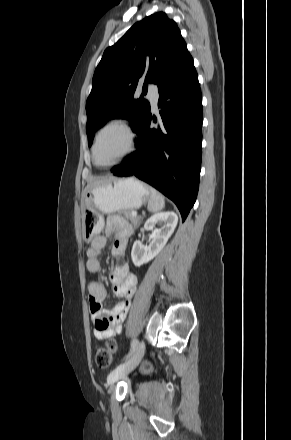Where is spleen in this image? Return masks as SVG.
Returning <instances> with one entry per match:
<instances>
[{
	"instance_id": "1",
	"label": "spleen",
	"mask_w": 291,
	"mask_h": 440,
	"mask_svg": "<svg viewBox=\"0 0 291 440\" xmlns=\"http://www.w3.org/2000/svg\"><path fill=\"white\" fill-rule=\"evenodd\" d=\"M150 199L148 201V210L150 212H157L164 208L165 199L164 197L154 188H150Z\"/></svg>"
}]
</instances>
